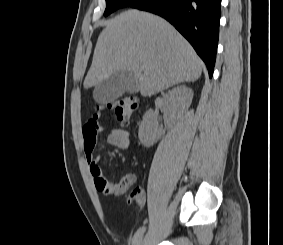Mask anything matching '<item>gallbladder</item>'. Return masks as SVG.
<instances>
[{"instance_id": "obj_1", "label": "gallbladder", "mask_w": 283, "mask_h": 245, "mask_svg": "<svg viewBox=\"0 0 283 245\" xmlns=\"http://www.w3.org/2000/svg\"><path fill=\"white\" fill-rule=\"evenodd\" d=\"M139 91L138 80L130 71H119L96 85L93 98L99 104L114 102L126 92Z\"/></svg>"}]
</instances>
